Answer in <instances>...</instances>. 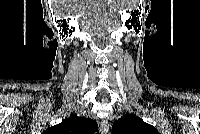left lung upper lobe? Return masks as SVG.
<instances>
[{
	"label": "left lung upper lobe",
	"mask_w": 200,
	"mask_h": 134,
	"mask_svg": "<svg viewBox=\"0 0 200 134\" xmlns=\"http://www.w3.org/2000/svg\"><path fill=\"white\" fill-rule=\"evenodd\" d=\"M112 132L113 134H158L155 127L134 114H126L114 122Z\"/></svg>",
	"instance_id": "1"
}]
</instances>
